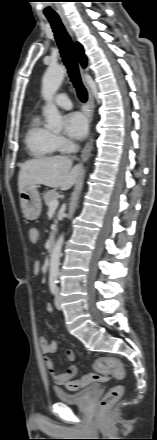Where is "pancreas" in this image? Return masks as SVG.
Listing matches in <instances>:
<instances>
[{"label":"pancreas","mask_w":157,"mask_h":440,"mask_svg":"<svg viewBox=\"0 0 157 440\" xmlns=\"http://www.w3.org/2000/svg\"><path fill=\"white\" fill-rule=\"evenodd\" d=\"M58 198V193L56 192V190H50L48 192H46L43 196V199L45 201V204L47 206H49V204L53 201V200H57ZM57 223V221H56Z\"/></svg>","instance_id":"1"}]
</instances>
